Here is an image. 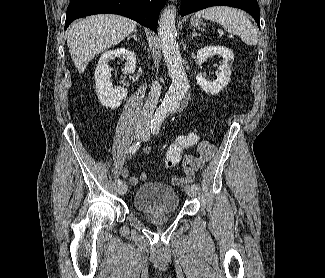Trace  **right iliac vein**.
I'll list each match as a JSON object with an SVG mask.
<instances>
[{"label":"right iliac vein","instance_id":"63e3f726","mask_svg":"<svg viewBox=\"0 0 325 278\" xmlns=\"http://www.w3.org/2000/svg\"><path fill=\"white\" fill-rule=\"evenodd\" d=\"M144 135V129L143 128H137L136 132H135V136L136 138H141ZM117 191L120 195H124L127 191V185L121 184L118 186Z\"/></svg>","mask_w":325,"mask_h":278}]
</instances>
